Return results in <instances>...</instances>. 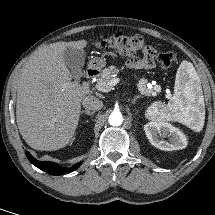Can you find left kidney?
I'll use <instances>...</instances> for the list:
<instances>
[{
    "label": "left kidney",
    "mask_w": 215,
    "mask_h": 215,
    "mask_svg": "<svg viewBox=\"0 0 215 215\" xmlns=\"http://www.w3.org/2000/svg\"><path fill=\"white\" fill-rule=\"evenodd\" d=\"M144 131L150 143L160 150H180L187 146L184 133L166 121L147 123ZM166 137L169 138V142L164 140Z\"/></svg>",
    "instance_id": "5707ae66"
}]
</instances>
